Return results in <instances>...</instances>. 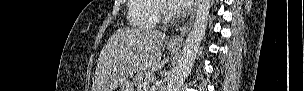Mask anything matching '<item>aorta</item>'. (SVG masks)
<instances>
[{
  "mask_svg": "<svg viewBox=\"0 0 304 91\" xmlns=\"http://www.w3.org/2000/svg\"><path fill=\"white\" fill-rule=\"evenodd\" d=\"M211 0H198L195 21L183 46L176 70L167 85V91H179L183 81L190 73L199 46L205 36Z\"/></svg>",
  "mask_w": 304,
  "mask_h": 91,
  "instance_id": "obj_1",
  "label": "aorta"
}]
</instances>
